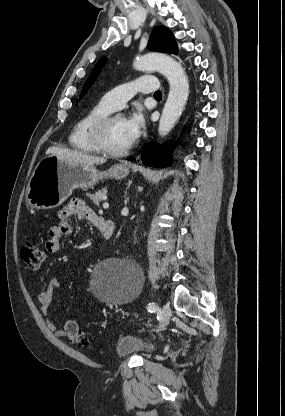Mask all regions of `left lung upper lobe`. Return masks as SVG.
Here are the masks:
<instances>
[{"label":"left lung upper lobe","mask_w":285,"mask_h":416,"mask_svg":"<svg viewBox=\"0 0 285 416\" xmlns=\"http://www.w3.org/2000/svg\"><path fill=\"white\" fill-rule=\"evenodd\" d=\"M147 48L149 50H153L157 52H165V53H173V54H177L178 52L177 44H176L173 34L168 28L164 26L155 27L153 29ZM105 63H106V59L103 57L96 64L93 71L91 72V75L88 77V79L86 80L82 88L80 98L83 97V95L87 92V90L96 80L97 76L99 75Z\"/></svg>","instance_id":"1"}]
</instances>
